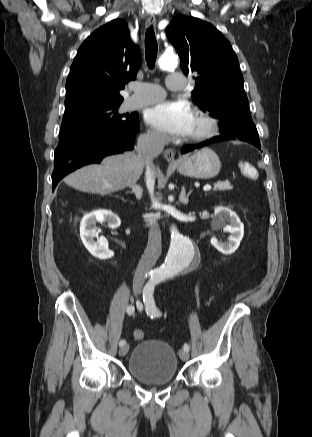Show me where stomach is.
Wrapping results in <instances>:
<instances>
[{"label": "stomach", "mask_w": 312, "mask_h": 437, "mask_svg": "<svg viewBox=\"0 0 312 437\" xmlns=\"http://www.w3.org/2000/svg\"><path fill=\"white\" fill-rule=\"evenodd\" d=\"M177 171L184 176L208 179L218 175L221 162L217 154L210 148H203L188 154L172 164Z\"/></svg>", "instance_id": "1"}]
</instances>
